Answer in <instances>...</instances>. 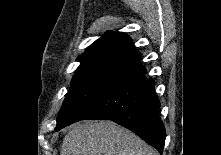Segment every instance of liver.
I'll return each instance as SVG.
<instances>
[{"label":"liver","instance_id":"obj_1","mask_svg":"<svg viewBox=\"0 0 221 155\" xmlns=\"http://www.w3.org/2000/svg\"><path fill=\"white\" fill-rule=\"evenodd\" d=\"M60 155H158V152L112 121H84L67 133Z\"/></svg>","mask_w":221,"mask_h":155}]
</instances>
